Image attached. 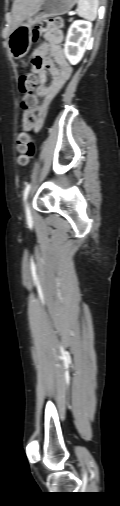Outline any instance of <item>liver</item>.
<instances>
[{
  "label": "liver",
  "instance_id": "liver-1",
  "mask_svg": "<svg viewBox=\"0 0 120 506\" xmlns=\"http://www.w3.org/2000/svg\"><path fill=\"white\" fill-rule=\"evenodd\" d=\"M41 2L42 0H14L12 17L9 21L10 31L21 25Z\"/></svg>",
  "mask_w": 120,
  "mask_h": 506
}]
</instances>
